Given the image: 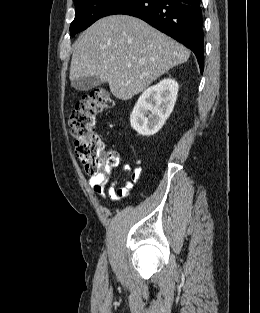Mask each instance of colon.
Instances as JSON below:
<instances>
[{
  "label": "colon",
  "mask_w": 260,
  "mask_h": 313,
  "mask_svg": "<svg viewBox=\"0 0 260 313\" xmlns=\"http://www.w3.org/2000/svg\"><path fill=\"white\" fill-rule=\"evenodd\" d=\"M113 106V96L105 90L96 89L85 94L70 115L76 156L92 176H108L119 161L118 155L106 150L94 129L96 116Z\"/></svg>",
  "instance_id": "obj_1"
}]
</instances>
